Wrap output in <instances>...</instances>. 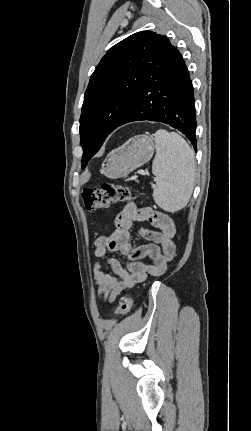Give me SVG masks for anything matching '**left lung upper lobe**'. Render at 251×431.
Returning <instances> with one entry per match:
<instances>
[{
  "mask_svg": "<svg viewBox=\"0 0 251 431\" xmlns=\"http://www.w3.org/2000/svg\"><path fill=\"white\" fill-rule=\"evenodd\" d=\"M166 41L152 31L137 32L110 48L97 65L80 117L82 169L126 116Z\"/></svg>",
  "mask_w": 251,
  "mask_h": 431,
  "instance_id": "obj_1",
  "label": "left lung upper lobe"
}]
</instances>
